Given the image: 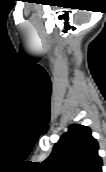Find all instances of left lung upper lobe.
<instances>
[{"mask_svg": "<svg viewBox=\"0 0 106 172\" xmlns=\"http://www.w3.org/2000/svg\"><path fill=\"white\" fill-rule=\"evenodd\" d=\"M98 149L88 126L72 124L40 165L45 172H102Z\"/></svg>", "mask_w": 106, "mask_h": 172, "instance_id": "left-lung-upper-lobe-1", "label": "left lung upper lobe"}]
</instances>
